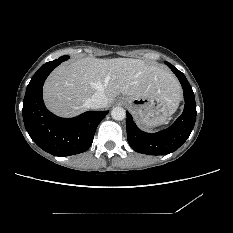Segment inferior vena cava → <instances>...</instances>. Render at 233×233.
<instances>
[{"label": "inferior vena cava", "instance_id": "obj_1", "mask_svg": "<svg viewBox=\"0 0 233 233\" xmlns=\"http://www.w3.org/2000/svg\"><path fill=\"white\" fill-rule=\"evenodd\" d=\"M107 97L102 92H96L91 98L86 100L85 105L88 108L99 109L107 106Z\"/></svg>", "mask_w": 233, "mask_h": 233}]
</instances>
